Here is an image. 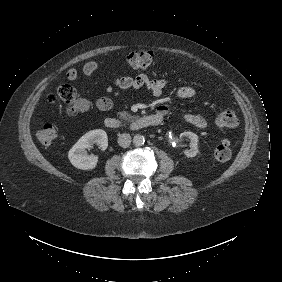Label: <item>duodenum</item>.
<instances>
[{"label": "duodenum", "mask_w": 282, "mask_h": 282, "mask_svg": "<svg viewBox=\"0 0 282 282\" xmlns=\"http://www.w3.org/2000/svg\"><path fill=\"white\" fill-rule=\"evenodd\" d=\"M162 120L163 117L159 114L143 115L140 117H136L127 123L122 122L116 117H107L104 119V125L107 128L114 130L127 129L134 131L158 125L162 122Z\"/></svg>", "instance_id": "obj_1"}]
</instances>
